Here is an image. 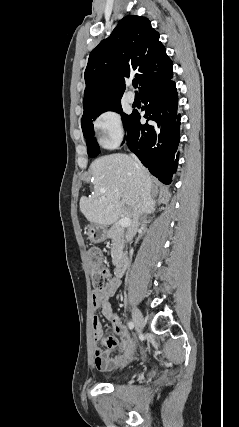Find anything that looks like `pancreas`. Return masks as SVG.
Wrapping results in <instances>:
<instances>
[{
	"mask_svg": "<svg viewBox=\"0 0 239 427\" xmlns=\"http://www.w3.org/2000/svg\"><path fill=\"white\" fill-rule=\"evenodd\" d=\"M108 237L112 240V262L115 264L123 246V228L118 224H114L108 230Z\"/></svg>",
	"mask_w": 239,
	"mask_h": 427,
	"instance_id": "pancreas-1",
	"label": "pancreas"
}]
</instances>
